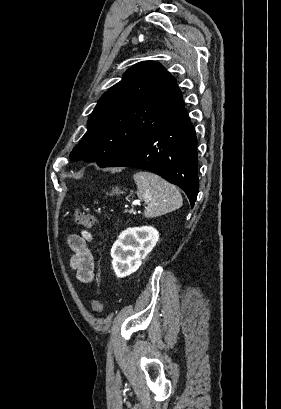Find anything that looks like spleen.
Returning a JSON list of instances; mask_svg holds the SVG:
<instances>
[{"mask_svg": "<svg viewBox=\"0 0 281 409\" xmlns=\"http://www.w3.org/2000/svg\"><path fill=\"white\" fill-rule=\"evenodd\" d=\"M137 184V196L147 202L144 217H161L177 211L183 205V198L175 184H170L153 172H136L133 176Z\"/></svg>", "mask_w": 281, "mask_h": 409, "instance_id": "1", "label": "spleen"}]
</instances>
